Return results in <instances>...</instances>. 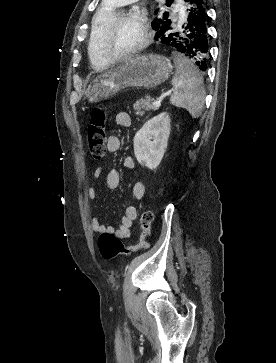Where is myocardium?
Here are the masks:
<instances>
[{"mask_svg": "<svg viewBox=\"0 0 276 363\" xmlns=\"http://www.w3.org/2000/svg\"><path fill=\"white\" fill-rule=\"evenodd\" d=\"M125 20L135 21L141 26V28H142L141 40L139 41V43L136 46H134L130 50H128L122 54H119V55H112L106 48L104 39H105L106 35L117 24H119L120 22L125 21ZM150 39H151V30H150L148 19L144 14L135 12V11H131V10L121 11V12L115 13V15L107 22V24L102 29V31L100 33V37H99V47H100L101 53L107 59V61H109L110 63L118 62V61H122L127 58H130V57L140 53L141 51H143L149 44Z\"/></svg>", "mask_w": 276, "mask_h": 363, "instance_id": "obj_1", "label": "myocardium"}]
</instances>
